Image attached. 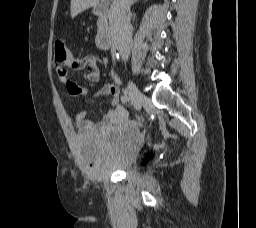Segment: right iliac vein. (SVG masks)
Wrapping results in <instances>:
<instances>
[{
  "label": "right iliac vein",
  "instance_id": "obj_1",
  "mask_svg": "<svg viewBox=\"0 0 256 228\" xmlns=\"http://www.w3.org/2000/svg\"><path fill=\"white\" fill-rule=\"evenodd\" d=\"M127 92L132 100V103L137 109L141 108L142 102L144 100V95L138 89V87L132 82L129 81L127 86Z\"/></svg>",
  "mask_w": 256,
  "mask_h": 228
}]
</instances>
